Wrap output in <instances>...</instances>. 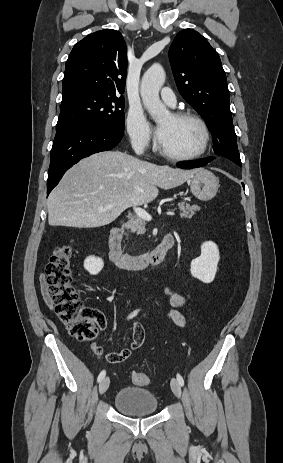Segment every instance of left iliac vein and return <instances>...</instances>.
Wrapping results in <instances>:
<instances>
[{
	"mask_svg": "<svg viewBox=\"0 0 283 463\" xmlns=\"http://www.w3.org/2000/svg\"><path fill=\"white\" fill-rule=\"evenodd\" d=\"M170 384H171V389L173 393L175 394V396L180 398L181 397V385L178 382V380L175 378H172Z\"/></svg>",
	"mask_w": 283,
	"mask_h": 463,
	"instance_id": "1",
	"label": "left iliac vein"
}]
</instances>
